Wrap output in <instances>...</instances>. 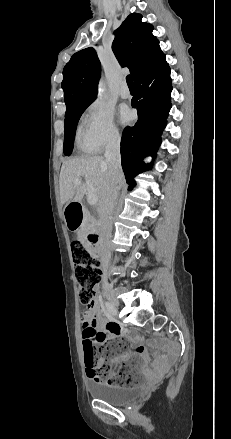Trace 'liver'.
Returning a JSON list of instances; mask_svg holds the SVG:
<instances>
[{
    "mask_svg": "<svg viewBox=\"0 0 231 439\" xmlns=\"http://www.w3.org/2000/svg\"><path fill=\"white\" fill-rule=\"evenodd\" d=\"M83 177L94 188V193L101 202L110 185V171L108 164L102 156H90L74 158L66 161L61 168L59 177L61 203L81 202L86 191L87 183L76 185L75 179ZM124 183V176L121 178L119 186Z\"/></svg>",
    "mask_w": 231,
    "mask_h": 439,
    "instance_id": "6515ba94",
    "label": "liver"
}]
</instances>
